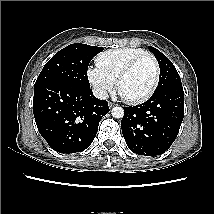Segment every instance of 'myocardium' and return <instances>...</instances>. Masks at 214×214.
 <instances>
[{
    "instance_id": "f54148a6",
    "label": "myocardium",
    "mask_w": 214,
    "mask_h": 214,
    "mask_svg": "<svg viewBox=\"0 0 214 214\" xmlns=\"http://www.w3.org/2000/svg\"><path fill=\"white\" fill-rule=\"evenodd\" d=\"M145 59H149L153 66H154V70H155V78H154V81H153V84L151 86V88L144 94L142 95L141 97H138V98H133V99H130V98H126L124 97L121 92H120V85H121V82L123 81V79L131 73V71L143 60ZM159 82H160V67H159V63L158 61L156 60V58L151 55V54H148V53H145L143 55H140L136 58H134L131 62H129L120 72V74L118 75L117 77V89H118V92L120 93V95L124 98V100L130 104H141L145 101H147L148 99H150L153 94L155 93V91L157 90L158 88V85H159Z\"/></svg>"
}]
</instances>
